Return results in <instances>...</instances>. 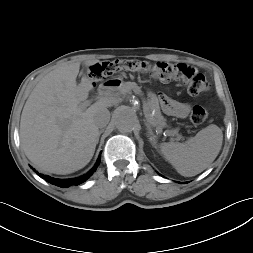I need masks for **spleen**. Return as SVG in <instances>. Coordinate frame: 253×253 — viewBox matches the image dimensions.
I'll use <instances>...</instances> for the list:
<instances>
[{
	"label": "spleen",
	"instance_id": "spleen-1",
	"mask_svg": "<svg viewBox=\"0 0 253 253\" xmlns=\"http://www.w3.org/2000/svg\"><path fill=\"white\" fill-rule=\"evenodd\" d=\"M222 141V130L212 124L185 143H162L160 151L180 175L192 177L211 165L219 154Z\"/></svg>",
	"mask_w": 253,
	"mask_h": 253
}]
</instances>
